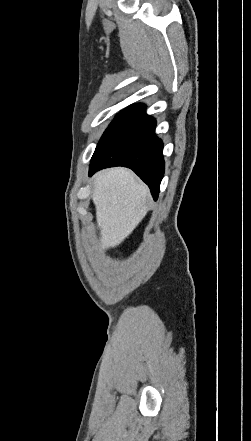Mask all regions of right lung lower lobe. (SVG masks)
Listing matches in <instances>:
<instances>
[{
  "label": "right lung lower lobe",
  "instance_id": "right-lung-lower-lobe-1",
  "mask_svg": "<svg viewBox=\"0 0 251 441\" xmlns=\"http://www.w3.org/2000/svg\"><path fill=\"white\" fill-rule=\"evenodd\" d=\"M145 109L142 104L130 105L106 130L92 156L89 175L107 167H128L157 200L164 175L163 143L155 135V119Z\"/></svg>",
  "mask_w": 251,
  "mask_h": 441
}]
</instances>
